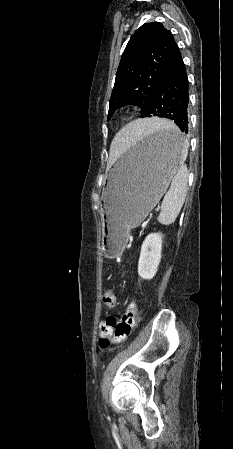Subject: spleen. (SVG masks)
<instances>
[{
    "instance_id": "3e777b00",
    "label": "spleen",
    "mask_w": 233,
    "mask_h": 449,
    "mask_svg": "<svg viewBox=\"0 0 233 449\" xmlns=\"http://www.w3.org/2000/svg\"><path fill=\"white\" fill-rule=\"evenodd\" d=\"M164 128L176 127L173 125V123H171V125H158V130L152 131V133H163ZM146 138H148V134H146ZM128 145H126L124 149L127 148ZM188 146V141L184 139V158L187 155ZM187 181L188 169L183 163H181L176 170L175 176L172 179L170 189L165 194L162 201L161 213L158 216L159 223L163 225H169L176 220L186 198L188 189Z\"/></svg>"
}]
</instances>
